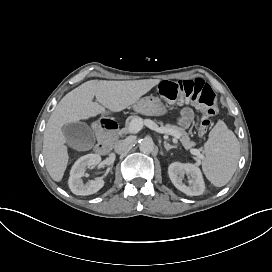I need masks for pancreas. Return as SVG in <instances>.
I'll return each instance as SVG.
<instances>
[{
	"label": "pancreas",
	"mask_w": 272,
	"mask_h": 272,
	"mask_svg": "<svg viewBox=\"0 0 272 272\" xmlns=\"http://www.w3.org/2000/svg\"><path fill=\"white\" fill-rule=\"evenodd\" d=\"M135 118H139V117L138 116H130L126 119L125 128H123L120 131V134L129 133V124H130L131 120L135 119ZM158 124L161 125L162 127H165L167 129H171V130L178 132L180 134V141L185 149H187V150L191 149L195 145L194 142L190 141V138H189L187 132L183 128L175 126V125H171V124L163 125L162 122H158Z\"/></svg>",
	"instance_id": "obj_1"
}]
</instances>
